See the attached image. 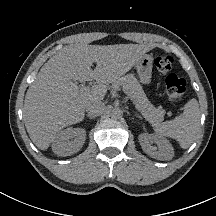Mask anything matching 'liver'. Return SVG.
I'll list each match as a JSON object with an SVG mask.
<instances>
[{
  "label": "liver",
  "instance_id": "liver-1",
  "mask_svg": "<svg viewBox=\"0 0 216 216\" xmlns=\"http://www.w3.org/2000/svg\"><path fill=\"white\" fill-rule=\"evenodd\" d=\"M150 49L145 44L78 43L52 56L25 96L24 122L33 143L46 150L62 128L81 122L86 105L103 100L108 85L127 73ZM72 80H96L97 84L89 91H80Z\"/></svg>",
  "mask_w": 216,
  "mask_h": 216
}]
</instances>
